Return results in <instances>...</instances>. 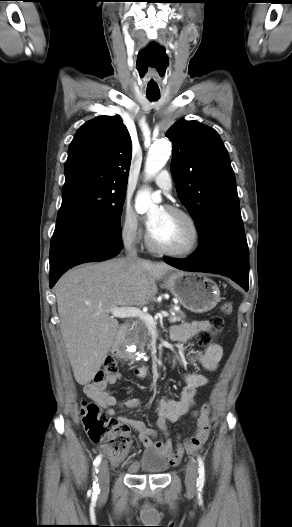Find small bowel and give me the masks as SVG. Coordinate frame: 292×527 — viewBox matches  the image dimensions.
<instances>
[{"instance_id": "obj_1", "label": "small bowel", "mask_w": 292, "mask_h": 527, "mask_svg": "<svg viewBox=\"0 0 292 527\" xmlns=\"http://www.w3.org/2000/svg\"><path fill=\"white\" fill-rule=\"evenodd\" d=\"M210 328V323L204 320L185 322L172 327L171 339L177 342H186L199 332L209 330ZM222 354V347L218 344H212L202 352L196 354L195 360L204 370L214 371L219 365ZM120 379L121 374L115 373L108 376L102 382L85 385L84 392L89 398L105 408L108 415H114L115 411L113 407L117 404V400L108 386L116 383ZM183 380L185 386L181 390L179 398H163L157 406V426L163 434L164 440H155L158 432L147 427L140 420L129 419L124 416L118 418L127 423L137 433L138 440L144 447L161 453L168 458L172 465L180 461L184 450L190 453L198 450L208 439L211 426L210 406L208 404L203 405L198 410H193L197 390L208 384V378L199 373H187L184 374ZM119 404L127 408H135L140 405V400L131 398ZM188 413H191L195 419L196 433L186 440H182L181 436L178 435L174 448L173 442L169 437L167 424L179 421Z\"/></svg>"}]
</instances>
